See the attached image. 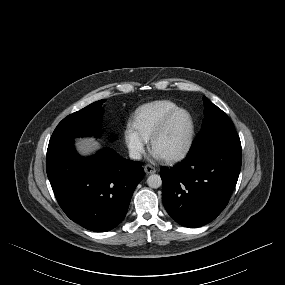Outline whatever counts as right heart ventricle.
Wrapping results in <instances>:
<instances>
[{"instance_id":"e07e8e85","label":"right heart ventricle","mask_w":285,"mask_h":285,"mask_svg":"<svg viewBox=\"0 0 285 285\" xmlns=\"http://www.w3.org/2000/svg\"><path fill=\"white\" fill-rule=\"evenodd\" d=\"M179 106L171 100H156L138 107L131 119V126L145 140H149L163 118Z\"/></svg>"}]
</instances>
